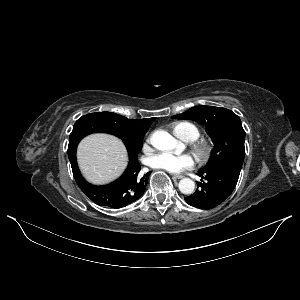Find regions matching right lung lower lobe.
Listing matches in <instances>:
<instances>
[{
	"mask_svg": "<svg viewBox=\"0 0 300 300\" xmlns=\"http://www.w3.org/2000/svg\"><path fill=\"white\" fill-rule=\"evenodd\" d=\"M69 155L76 183L83 193L94 203L109 208H122L138 200L145 192L151 171L143 176L138 158L129 155L128 167L123 175L113 183L105 186H94L80 174L76 162V151Z\"/></svg>",
	"mask_w": 300,
	"mask_h": 300,
	"instance_id": "1",
	"label": "right lung lower lobe"
}]
</instances>
